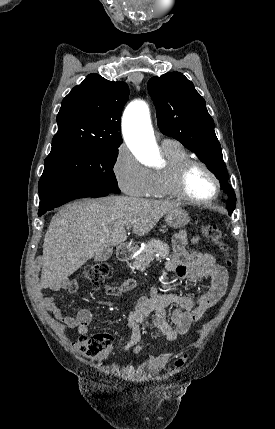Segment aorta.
Segmentation results:
<instances>
[{
	"instance_id": "1",
	"label": "aorta",
	"mask_w": 275,
	"mask_h": 429,
	"mask_svg": "<svg viewBox=\"0 0 275 429\" xmlns=\"http://www.w3.org/2000/svg\"><path fill=\"white\" fill-rule=\"evenodd\" d=\"M122 131L131 152L144 164L156 165L160 158L148 105L143 101L131 103L124 111Z\"/></svg>"
}]
</instances>
